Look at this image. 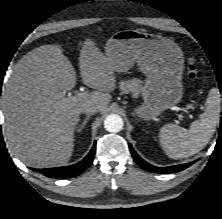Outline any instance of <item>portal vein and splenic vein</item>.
<instances>
[{
    "label": "portal vein and splenic vein",
    "mask_w": 222,
    "mask_h": 219,
    "mask_svg": "<svg viewBox=\"0 0 222 219\" xmlns=\"http://www.w3.org/2000/svg\"><path fill=\"white\" fill-rule=\"evenodd\" d=\"M87 94H88L87 92H81V93H78L77 96H85ZM179 110L182 111V112L188 113L187 109H185V108H180ZM179 120L180 121L183 120L182 115H179Z\"/></svg>",
    "instance_id": "portal-vein-and-splenic-vein-1"
}]
</instances>
